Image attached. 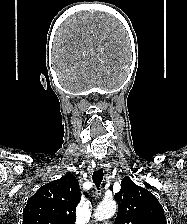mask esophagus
<instances>
[{
	"mask_svg": "<svg viewBox=\"0 0 187 224\" xmlns=\"http://www.w3.org/2000/svg\"><path fill=\"white\" fill-rule=\"evenodd\" d=\"M103 167V164L101 163V162H98L97 164H96V168L97 169H101Z\"/></svg>",
	"mask_w": 187,
	"mask_h": 224,
	"instance_id": "34e87169",
	"label": "esophagus"
}]
</instances>
